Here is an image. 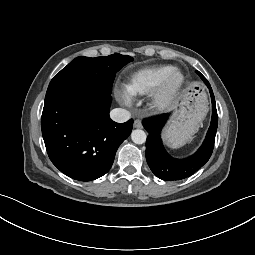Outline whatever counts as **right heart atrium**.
Instances as JSON below:
<instances>
[{"mask_svg": "<svg viewBox=\"0 0 255 255\" xmlns=\"http://www.w3.org/2000/svg\"><path fill=\"white\" fill-rule=\"evenodd\" d=\"M118 94L121 98V100L125 103V104H131L133 101V94L129 91V89L127 87H121L118 90Z\"/></svg>", "mask_w": 255, "mask_h": 255, "instance_id": "right-heart-atrium-1", "label": "right heart atrium"}]
</instances>
